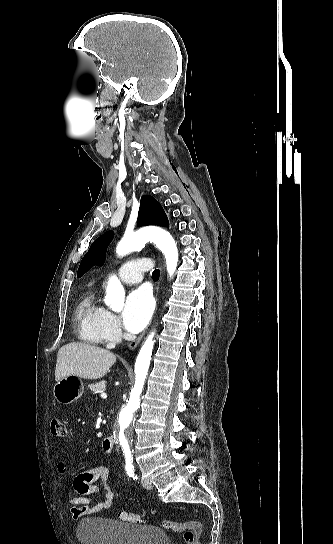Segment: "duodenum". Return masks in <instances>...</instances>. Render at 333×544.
Returning a JSON list of instances; mask_svg holds the SVG:
<instances>
[{
	"mask_svg": "<svg viewBox=\"0 0 333 544\" xmlns=\"http://www.w3.org/2000/svg\"><path fill=\"white\" fill-rule=\"evenodd\" d=\"M115 444V439L113 436H106L102 441V447L105 452H112Z\"/></svg>",
	"mask_w": 333,
	"mask_h": 544,
	"instance_id": "1",
	"label": "duodenum"
}]
</instances>
